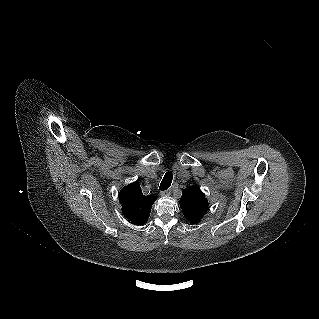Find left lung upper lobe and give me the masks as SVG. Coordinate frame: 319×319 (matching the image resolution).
Segmentation results:
<instances>
[{
    "label": "left lung upper lobe",
    "instance_id": "left-lung-upper-lobe-1",
    "mask_svg": "<svg viewBox=\"0 0 319 319\" xmlns=\"http://www.w3.org/2000/svg\"><path fill=\"white\" fill-rule=\"evenodd\" d=\"M180 205L191 224L197 223L208 210V202L198 186H191L183 191Z\"/></svg>",
    "mask_w": 319,
    "mask_h": 319
}]
</instances>
